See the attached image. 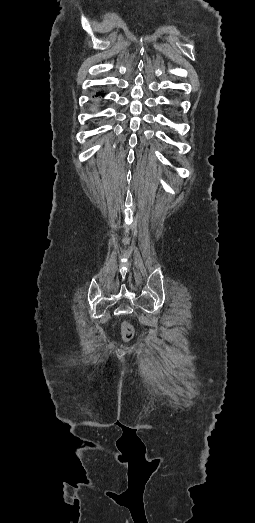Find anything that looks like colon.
I'll return each mask as SVG.
<instances>
[{
	"label": "colon",
	"mask_w": 255,
	"mask_h": 523,
	"mask_svg": "<svg viewBox=\"0 0 255 523\" xmlns=\"http://www.w3.org/2000/svg\"><path fill=\"white\" fill-rule=\"evenodd\" d=\"M121 333H122L123 339L128 341L134 335V328L130 323L124 322L121 326Z\"/></svg>",
	"instance_id": "colon-1"
}]
</instances>
